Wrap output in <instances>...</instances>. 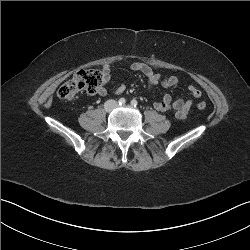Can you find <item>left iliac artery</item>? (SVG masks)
<instances>
[{
	"instance_id": "44dca946",
	"label": "left iliac artery",
	"mask_w": 250,
	"mask_h": 250,
	"mask_svg": "<svg viewBox=\"0 0 250 250\" xmlns=\"http://www.w3.org/2000/svg\"><path fill=\"white\" fill-rule=\"evenodd\" d=\"M131 105L134 106V107H136L138 105V102L135 99H133L131 101Z\"/></svg>"
}]
</instances>
